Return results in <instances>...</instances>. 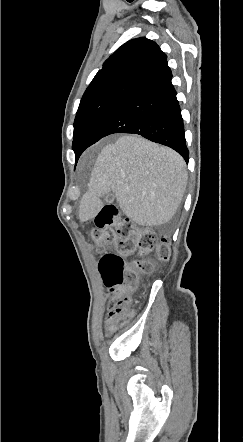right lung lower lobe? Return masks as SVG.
I'll use <instances>...</instances> for the list:
<instances>
[{
	"instance_id": "98d812e1",
	"label": "right lung lower lobe",
	"mask_w": 243,
	"mask_h": 442,
	"mask_svg": "<svg viewBox=\"0 0 243 442\" xmlns=\"http://www.w3.org/2000/svg\"><path fill=\"white\" fill-rule=\"evenodd\" d=\"M171 70L129 92L100 123L87 147L114 133H135L171 147L188 162L189 151Z\"/></svg>"
}]
</instances>
